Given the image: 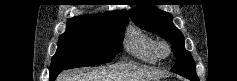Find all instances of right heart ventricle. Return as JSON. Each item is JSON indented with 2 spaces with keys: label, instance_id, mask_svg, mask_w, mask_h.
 I'll use <instances>...</instances> for the list:
<instances>
[{
  "label": "right heart ventricle",
  "instance_id": "e07e8e85",
  "mask_svg": "<svg viewBox=\"0 0 237 81\" xmlns=\"http://www.w3.org/2000/svg\"><path fill=\"white\" fill-rule=\"evenodd\" d=\"M126 51L143 63L155 65L159 61L157 42L137 28H130L124 41Z\"/></svg>",
  "mask_w": 237,
  "mask_h": 81
}]
</instances>
